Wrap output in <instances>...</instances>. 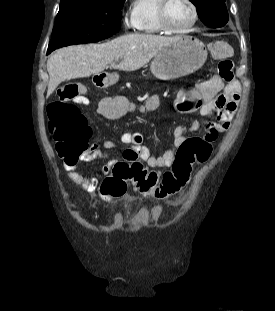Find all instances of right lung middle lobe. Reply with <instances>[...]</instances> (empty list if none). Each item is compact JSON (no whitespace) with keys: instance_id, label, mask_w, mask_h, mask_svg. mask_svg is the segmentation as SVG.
<instances>
[{"instance_id":"obj_1","label":"right lung middle lobe","mask_w":275,"mask_h":311,"mask_svg":"<svg viewBox=\"0 0 275 311\" xmlns=\"http://www.w3.org/2000/svg\"><path fill=\"white\" fill-rule=\"evenodd\" d=\"M123 4L124 0H61L47 54L112 36L120 30Z\"/></svg>"}]
</instances>
